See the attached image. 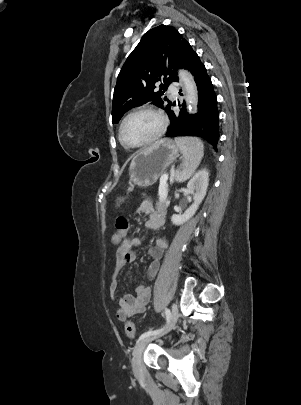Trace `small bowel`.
<instances>
[{"label":"small bowel","mask_w":301,"mask_h":405,"mask_svg":"<svg viewBox=\"0 0 301 405\" xmlns=\"http://www.w3.org/2000/svg\"><path fill=\"white\" fill-rule=\"evenodd\" d=\"M136 212L147 216L145 227L151 231H158L165 223L164 214L154 208L149 200H144L138 206ZM141 245V239L138 237L125 238L121 242V246L117 248L115 253V263L110 275L109 292L112 300L118 301L116 316L120 320H125L128 317L142 313L148 305L151 297V289L146 285H138L135 288V295L129 293H118L117 277L121 268L127 264L136 261V248ZM167 248V241L164 238L158 237L155 239L154 245L149 248L148 253L151 258L147 269V276L153 279L160 267V260L164 250Z\"/></svg>","instance_id":"1"}]
</instances>
